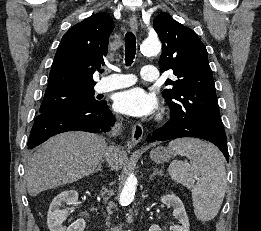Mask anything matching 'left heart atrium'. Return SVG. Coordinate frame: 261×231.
<instances>
[{"label":"left heart atrium","instance_id":"1","mask_svg":"<svg viewBox=\"0 0 261 231\" xmlns=\"http://www.w3.org/2000/svg\"><path fill=\"white\" fill-rule=\"evenodd\" d=\"M114 106L120 113L142 117L152 114L158 103L153 94L147 93L141 87H134L119 93Z\"/></svg>","mask_w":261,"mask_h":231}]
</instances>
